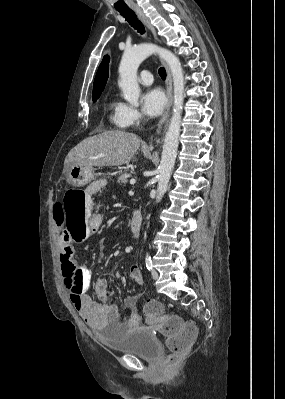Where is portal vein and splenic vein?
<instances>
[{
  "mask_svg": "<svg viewBox=\"0 0 285 399\" xmlns=\"http://www.w3.org/2000/svg\"><path fill=\"white\" fill-rule=\"evenodd\" d=\"M135 183H136V180H135V179H131V180H130V184H131V185H134Z\"/></svg>",
  "mask_w": 285,
  "mask_h": 399,
  "instance_id": "18ae733b",
  "label": "portal vein and splenic vein"
}]
</instances>
